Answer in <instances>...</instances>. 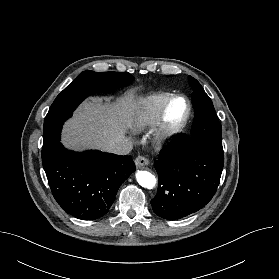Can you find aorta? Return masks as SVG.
<instances>
[{
  "instance_id": "762f6f07",
  "label": "aorta",
  "mask_w": 279,
  "mask_h": 279,
  "mask_svg": "<svg viewBox=\"0 0 279 279\" xmlns=\"http://www.w3.org/2000/svg\"><path fill=\"white\" fill-rule=\"evenodd\" d=\"M137 182L144 188L152 189L156 184V178L148 171H138L136 173Z\"/></svg>"
}]
</instances>
